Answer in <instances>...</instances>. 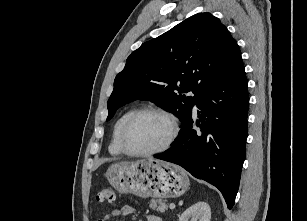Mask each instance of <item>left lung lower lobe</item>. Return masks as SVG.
<instances>
[{
  "label": "left lung lower lobe",
  "mask_w": 307,
  "mask_h": 221,
  "mask_svg": "<svg viewBox=\"0 0 307 221\" xmlns=\"http://www.w3.org/2000/svg\"><path fill=\"white\" fill-rule=\"evenodd\" d=\"M248 105L247 79L239 55L224 77L197 102L199 130L193 129L191 113L172 147L155 158L178 164L217 187L231 209L245 158Z\"/></svg>",
  "instance_id": "obj_1"
}]
</instances>
